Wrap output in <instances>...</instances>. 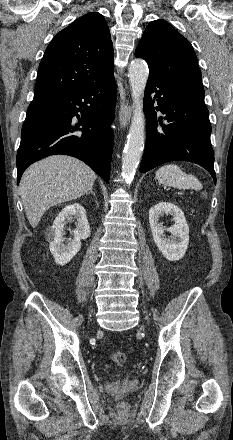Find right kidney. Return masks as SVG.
Instances as JSON below:
<instances>
[{"label":"right kidney","instance_id":"obj_1","mask_svg":"<svg viewBox=\"0 0 233 440\" xmlns=\"http://www.w3.org/2000/svg\"><path fill=\"white\" fill-rule=\"evenodd\" d=\"M73 216L77 220V228L73 231V239L64 244V229ZM90 226L84 207L79 203L67 205L55 218L53 225L47 231L50 251L56 264L65 265L79 252L81 240L90 236Z\"/></svg>","mask_w":233,"mask_h":440}]
</instances>
